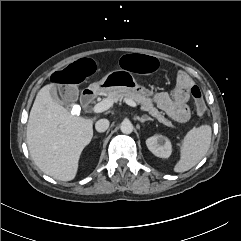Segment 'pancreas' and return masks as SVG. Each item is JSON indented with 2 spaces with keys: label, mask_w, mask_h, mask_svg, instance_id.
<instances>
[{
  "label": "pancreas",
  "mask_w": 241,
  "mask_h": 241,
  "mask_svg": "<svg viewBox=\"0 0 241 241\" xmlns=\"http://www.w3.org/2000/svg\"><path fill=\"white\" fill-rule=\"evenodd\" d=\"M106 97V99H110L115 103L123 99L132 100L141 105V110L148 112L152 117L157 119L163 125L175 128L172 122L164 117V113L158 111V109L153 104V100L148 95L121 88L106 93Z\"/></svg>",
  "instance_id": "cf45deb5"
}]
</instances>
